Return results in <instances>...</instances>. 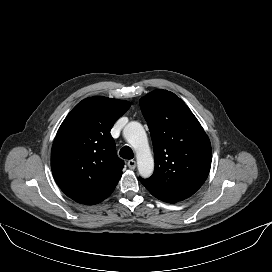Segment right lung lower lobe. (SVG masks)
I'll return each instance as SVG.
<instances>
[{"label":"right lung lower lobe","instance_id":"obj_1","mask_svg":"<svg viewBox=\"0 0 272 272\" xmlns=\"http://www.w3.org/2000/svg\"><path fill=\"white\" fill-rule=\"evenodd\" d=\"M119 180L115 181L110 187H108L105 191H103L98 197L92 200L88 205H94L100 203L104 199H106L114 190Z\"/></svg>","mask_w":272,"mask_h":272}]
</instances>
